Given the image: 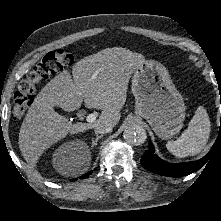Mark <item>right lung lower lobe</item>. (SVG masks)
Segmentation results:
<instances>
[{
	"label": "right lung lower lobe",
	"instance_id": "1",
	"mask_svg": "<svg viewBox=\"0 0 221 221\" xmlns=\"http://www.w3.org/2000/svg\"><path fill=\"white\" fill-rule=\"evenodd\" d=\"M92 171L88 172L87 174L83 175L81 178H84V177H87L88 175L91 174ZM74 180H77V179H74Z\"/></svg>",
	"mask_w": 221,
	"mask_h": 221
}]
</instances>
